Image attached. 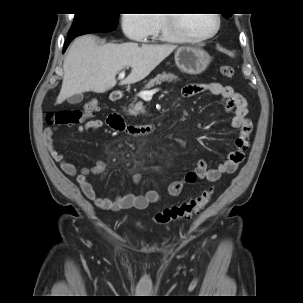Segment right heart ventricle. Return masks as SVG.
<instances>
[{"instance_id":"right-heart-ventricle-1","label":"right heart ventricle","mask_w":303,"mask_h":303,"mask_svg":"<svg viewBox=\"0 0 303 303\" xmlns=\"http://www.w3.org/2000/svg\"><path fill=\"white\" fill-rule=\"evenodd\" d=\"M153 16L156 21V28L151 33L150 37H152L154 39L161 38V39L171 41V42L180 41L178 38H176L174 35H172L167 30L165 15L157 14V15H153Z\"/></svg>"}]
</instances>
